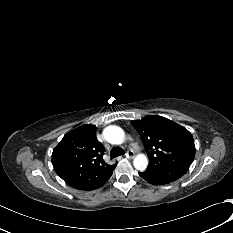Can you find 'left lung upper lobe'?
Listing matches in <instances>:
<instances>
[{
  "label": "left lung upper lobe",
  "instance_id": "left-lung-upper-lobe-1",
  "mask_svg": "<svg viewBox=\"0 0 233 233\" xmlns=\"http://www.w3.org/2000/svg\"><path fill=\"white\" fill-rule=\"evenodd\" d=\"M147 150V171L170 182L189 169L195 145L191 133L183 126L162 116L149 115L131 122Z\"/></svg>",
  "mask_w": 233,
  "mask_h": 233
}]
</instances>
